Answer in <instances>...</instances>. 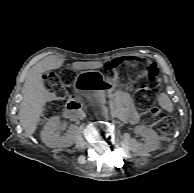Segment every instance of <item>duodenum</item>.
I'll return each mask as SVG.
<instances>
[{"label":"duodenum","instance_id":"1","mask_svg":"<svg viewBox=\"0 0 194 193\" xmlns=\"http://www.w3.org/2000/svg\"><path fill=\"white\" fill-rule=\"evenodd\" d=\"M81 109L82 105L80 99L76 96H73L67 102L64 116L68 119L76 117L81 114Z\"/></svg>","mask_w":194,"mask_h":193}]
</instances>
